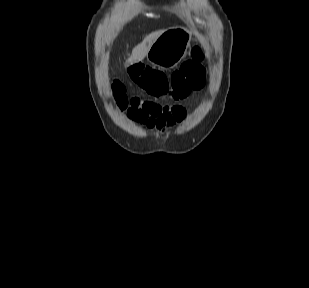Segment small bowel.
<instances>
[{
  "mask_svg": "<svg viewBox=\"0 0 309 288\" xmlns=\"http://www.w3.org/2000/svg\"><path fill=\"white\" fill-rule=\"evenodd\" d=\"M129 107L133 120L159 131H165L186 118V110L179 105L160 106L151 101L132 98Z\"/></svg>",
  "mask_w": 309,
  "mask_h": 288,
  "instance_id": "small-bowel-1",
  "label": "small bowel"
}]
</instances>
